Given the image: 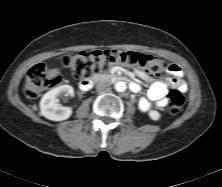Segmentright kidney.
I'll return each mask as SVG.
<instances>
[{"mask_svg":"<svg viewBox=\"0 0 222 187\" xmlns=\"http://www.w3.org/2000/svg\"><path fill=\"white\" fill-rule=\"evenodd\" d=\"M61 95L73 96V87L61 85L45 93L40 101L41 115L52 121L68 119L72 114V108L59 104V96Z\"/></svg>","mask_w":222,"mask_h":187,"instance_id":"ca27d5eb","label":"right kidney"}]
</instances>
